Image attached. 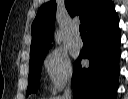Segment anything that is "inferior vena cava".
Instances as JSON below:
<instances>
[{"label":"inferior vena cava","instance_id":"1","mask_svg":"<svg viewBox=\"0 0 128 99\" xmlns=\"http://www.w3.org/2000/svg\"><path fill=\"white\" fill-rule=\"evenodd\" d=\"M71 86L70 85H68L67 86V88H66V90L64 91V94H63V99H71V96H72V94H71Z\"/></svg>","mask_w":128,"mask_h":99}]
</instances>
